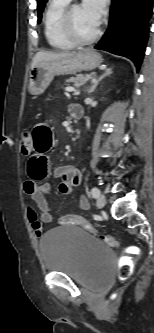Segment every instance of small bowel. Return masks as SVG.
Segmentation results:
<instances>
[{
    "instance_id": "obj_1",
    "label": "small bowel",
    "mask_w": 154,
    "mask_h": 333,
    "mask_svg": "<svg viewBox=\"0 0 154 333\" xmlns=\"http://www.w3.org/2000/svg\"><path fill=\"white\" fill-rule=\"evenodd\" d=\"M78 105H71L69 111ZM32 152L27 163L28 180L24 183V191L28 194L40 210V217L33 210H29L28 217L36 236L42 234V224L52 222L49 204L50 185L42 182L49 173L48 153L53 146L51 128L45 123H38L31 129ZM54 176L61 179L59 189L64 194H71L81 181L79 170L70 165L59 166L54 170ZM81 210L89 209V202L85 196L78 201Z\"/></svg>"
}]
</instances>
